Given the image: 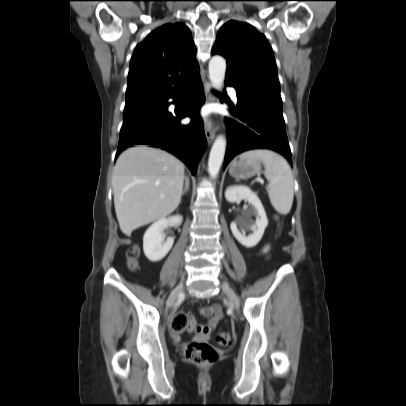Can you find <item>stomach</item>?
<instances>
[{
	"mask_svg": "<svg viewBox=\"0 0 406 406\" xmlns=\"http://www.w3.org/2000/svg\"><path fill=\"white\" fill-rule=\"evenodd\" d=\"M262 170V160L236 157L229 167V173L236 179H247L258 175Z\"/></svg>",
	"mask_w": 406,
	"mask_h": 406,
	"instance_id": "0dacf381",
	"label": "stomach"
}]
</instances>
